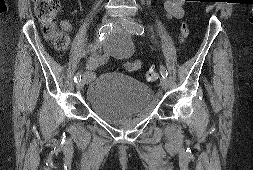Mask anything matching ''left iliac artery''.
Returning a JSON list of instances; mask_svg holds the SVG:
<instances>
[{"label": "left iliac artery", "instance_id": "44dca946", "mask_svg": "<svg viewBox=\"0 0 253 170\" xmlns=\"http://www.w3.org/2000/svg\"><path fill=\"white\" fill-rule=\"evenodd\" d=\"M131 32L142 35L144 33V27L138 23H135L133 24V28ZM160 73L162 77L164 78L168 76L167 69L164 66L160 67Z\"/></svg>", "mask_w": 253, "mask_h": 170}]
</instances>
